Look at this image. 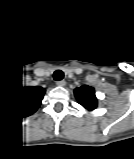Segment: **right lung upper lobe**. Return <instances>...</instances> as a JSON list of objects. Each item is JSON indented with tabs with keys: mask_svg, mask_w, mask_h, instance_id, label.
<instances>
[{
	"mask_svg": "<svg viewBox=\"0 0 134 159\" xmlns=\"http://www.w3.org/2000/svg\"><path fill=\"white\" fill-rule=\"evenodd\" d=\"M44 94L41 87H26L15 97V106L19 113L32 114L38 107Z\"/></svg>",
	"mask_w": 134,
	"mask_h": 159,
	"instance_id": "cb5924a9",
	"label": "right lung upper lobe"
}]
</instances>
